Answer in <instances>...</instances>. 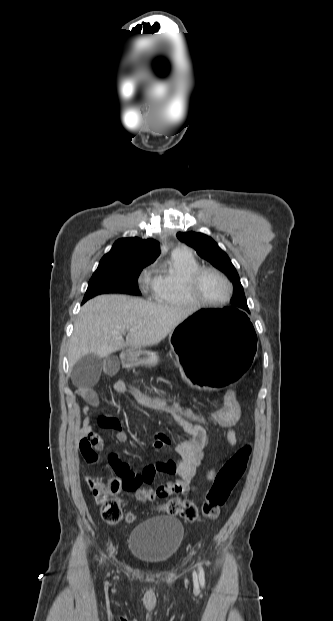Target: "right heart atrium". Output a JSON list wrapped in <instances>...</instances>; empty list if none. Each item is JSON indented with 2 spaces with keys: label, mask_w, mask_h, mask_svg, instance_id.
<instances>
[{
  "label": "right heart atrium",
  "mask_w": 333,
  "mask_h": 621,
  "mask_svg": "<svg viewBox=\"0 0 333 621\" xmlns=\"http://www.w3.org/2000/svg\"><path fill=\"white\" fill-rule=\"evenodd\" d=\"M146 280H147V275H144V276L142 277V279H141V282H142V283H145V282H146Z\"/></svg>",
  "instance_id": "obj_1"
}]
</instances>
